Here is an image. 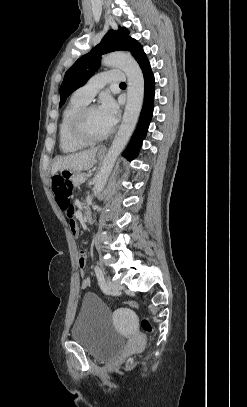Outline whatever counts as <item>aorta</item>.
<instances>
[{"label": "aorta", "mask_w": 247, "mask_h": 407, "mask_svg": "<svg viewBox=\"0 0 247 407\" xmlns=\"http://www.w3.org/2000/svg\"><path fill=\"white\" fill-rule=\"evenodd\" d=\"M102 64L107 67H118L127 76V103L124 110L122 123L112 142L100 170L94 181V196L104 189L115 161L127 144L136 126L144 97V78L142 71L135 59L123 52L107 54L102 59Z\"/></svg>", "instance_id": "762f6f07"}]
</instances>
